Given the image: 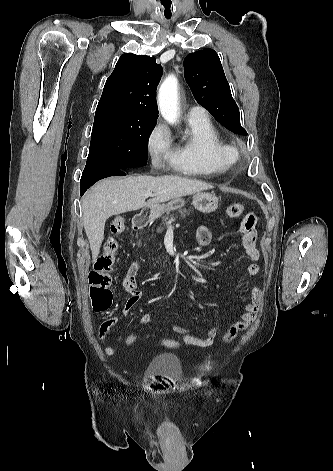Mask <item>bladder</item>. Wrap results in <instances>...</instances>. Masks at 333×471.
<instances>
[{
    "mask_svg": "<svg viewBox=\"0 0 333 471\" xmlns=\"http://www.w3.org/2000/svg\"><path fill=\"white\" fill-rule=\"evenodd\" d=\"M145 373L149 376L167 378L174 382H179L183 375L179 358L170 353L155 356L148 363Z\"/></svg>",
    "mask_w": 333,
    "mask_h": 471,
    "instance_id": "bladder-1",
    "label": "bladder"
}]
</instances>
